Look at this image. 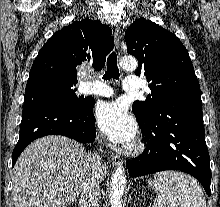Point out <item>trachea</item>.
<instances>
[{
    "instance_id": "3493384b",
    "label": "trachea",
    "mask_w": 220,
    "mask_h": 207,
    "mask_svg": "<svg viewBox=\"0 0 220 207\" xmlns=\"http://www.w3.org/2000/svg\"><path fill=\"white\" fill-rule=\"evenodd\" d=\"M120 73L117 66V55L115 52H112L107 58V71L103 75L104 80H109L114 78L118 80Z\"/></svg>"
}]
</instances>
